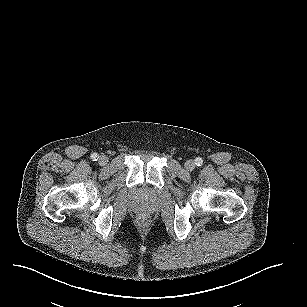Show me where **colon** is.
Returning a JSON list of instances; mask_svg holds the SVG:
<instances>
[{"label":"colon","instance_id":"colon-1","mask_svg":"<svg viewBox=\"0 0 307 307\" xmlns=\"http://www.w3.org/2000/svg\"><path fill=\"white\" fill-rule=\"evenodd\" d=\"M139 221L143 224L146 222V217L143 215L139 218Z\"/></svg>","mask_w":307,"mask_h":307}]
</instances>
